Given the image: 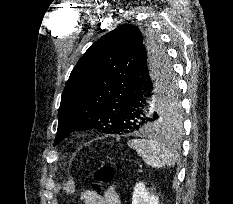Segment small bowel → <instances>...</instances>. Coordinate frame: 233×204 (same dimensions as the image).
<instances>
[{
	"mask_svg": "<svg viewBox=\"0 0 233 204\" xmlns=\"http://www.w3.org/2000/svg\"><path fill=\"white\" fill-rule=\"evenodd\" d=\"M80 199L84 204H122L114 186L107 188L103 194H94L90 190L82 191Z\"/></svg>",
	"mask_w": 233,
	"mask_h": 204,
	"instance_id": "c3829d8e",
	"label": "small bowel"
}]
</instances>
